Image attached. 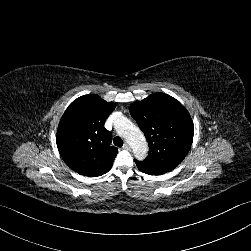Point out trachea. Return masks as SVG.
<instances>
[{"instance_id":"1","label":"trachea","mask_w":251,"mask_h":251,"mask_svg":"<svg viewBox=\"0 0 251 251\" xmlns=\"http://www.w3.org/2000/svg\"><path fill=\"white\" fill-rule=\"evenodd\" d=\"M113 142L118 147L123 146V140L119 136L114 137Z\"/></svg>"}]
</instances>
